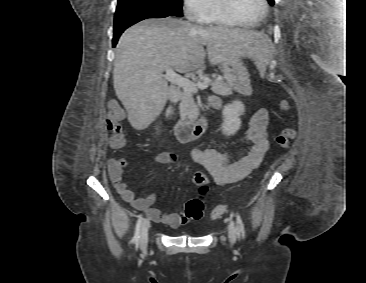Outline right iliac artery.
Returning a JSON list of instances; mask_svg holds the SVG:
<instances>
[{
  "mask_svg": "<svg viewBox=\"0 0 366 283\" xmlns=\"http://www.w3.org/2000/svg\"><path fill=\"white\" fill-rule=\"evenodd\" d=\"M142 221H143V216L140 215L139 218H138V221L136 223V228H135V234H134V237L132 239V242L135 244V245H138V242H139V238H140V228H141V224H142Z\"/></svg>",
  "mask_w": 366,
  "mask_h": 283,
  "instance_id": "82829eb1",
  "label": "right iliac artery"
}]
</instances>
